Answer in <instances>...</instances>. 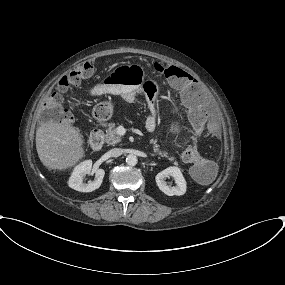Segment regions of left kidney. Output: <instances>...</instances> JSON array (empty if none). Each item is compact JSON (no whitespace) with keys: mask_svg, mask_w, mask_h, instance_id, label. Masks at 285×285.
I'll use <instances>...</instances> for the list:
<instances>
[{"mask_svg":"<svg viewBox=\"0 0 285 285\" xmlns=\"http://www.w3.org/2000/svg\"><path fill=\"white\" fill-rule=\"evenodd\" d=\"M171 176L176 183V186H169L165 178ZM159 189L168 196L183 195L186 192V181L178 167H168L158 173L155 177Z\"/></svg>","mask_w":285,"mask_h":285,"instance_id":"1","label":"left kidney"}]
</instances>
